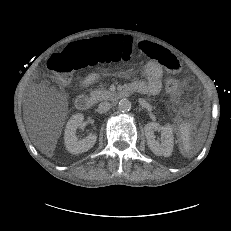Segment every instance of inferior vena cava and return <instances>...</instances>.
I'll list each match as a JSON object with an SVG mask.
<instances>
[{"label":"inferior vena cava","mask_w":231,"mask_h":231,"mask_svg":"<svg viewBox=\"0 0 231 231\" xmlns=\"http://www.w3.org/2000/svg\"><path fill=\"white\" fill-rule=\"evenodd\" d=\"M111 108V104L107 101L101 102L98 106L99 113H106Z\"/></svg>","instance_id":"602c4592"}]
</instances>
